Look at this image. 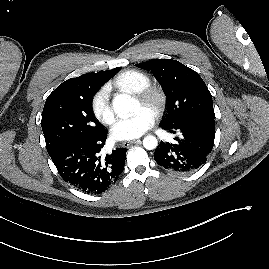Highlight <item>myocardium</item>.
<instances>
[{
	"instance_id": "1",
	"label": "myocardium",
	"mask_w": 269,
	"mask_h": 269,
	"mask_svg": "<svg viewBox=\"0 0 269 269\" xmlns=\"http://www.w3.org/2000/svg\"><path fill=\"white\" fill-rule=\"evenodd\" d=\"M142 106L151 108L156 116H160L167 106V95L165 91L156 85H148L136 94Z\"/></svg>"
}]
</instances>
